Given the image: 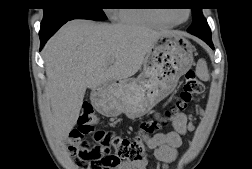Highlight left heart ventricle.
Listing matches in <instances>:
<instances>
[{"instance_id": "obj_1", "label": "left heart ventricle", "mask_w": 252, "mask_h": 169, "mask_svg": "<svg viewBox=\"0 0 252 169\" xmlns=\"http://www.w3.org/2000/svg\"><path fill=\"white\" fill-rule=\"evenodd\" d=\"M167 16L175 21L184 20L187 16V12L185 9L171 10L168 11Z\"/></svg>"}]
</instances>
